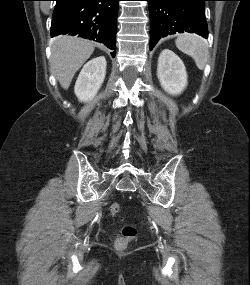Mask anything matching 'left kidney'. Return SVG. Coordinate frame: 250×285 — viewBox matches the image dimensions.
<instances>
[{
  "label": "left kidney",
  "instance_id": "5707ae66",
  "mask_svg": "<svg viewBox=\"0 0 250 285\" xmlns=\"http://www.w3.org/2000/svg\"><path fill=\"white\" fill-rule=\"evenodd\" d=\"M157 76L162 88L171 95L181 94L188 83L184 63L169 49L159 55Z\"/></svg>",
  "mask_w": 250,
  "mask_h": 285
}]
</instances>
